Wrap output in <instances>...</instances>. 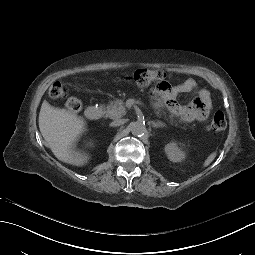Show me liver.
I'll list each match as a JSON object with an SVG mask.
<instances>
[{
	"mask_svg": "<svg viewBox=\"0 0 255 255\" xmlns=\"http://www.w3.org/2000/svg\"><path fill=\"white\" fill-rule=\"evenodd\" d=\"M83 127V121L75 114L43 101L39 113L40 132L58 160L76 166L87 162L85 156L71 150Z\"/></svg>",
	"mask_w": 255,
	"mask_h": 255,
	"instance_id": "1",
	"label": "liver"
}]
</instances>
